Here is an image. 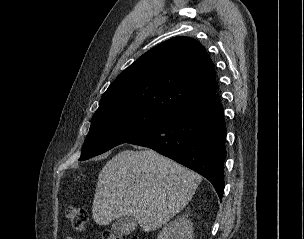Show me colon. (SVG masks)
Here are the masks:
<instances>
[{"label":"colon","mask_w":304,"mask_h":239,"mask_svg":"<svg viewBox=\"0 0 304 239\" xmlns=\"http://www.w3.org/2000/svg\"><path fill=\"white\" fill-rule=\"evenodd\" d=\"M66 217L71 223L72 227L76 231H84L88 223V212L85 208L80 206H70L66 210ZM102 239H125L124 237L118 236L111 230L103 232ZM131 239H138L132 237Z\"/></svg>","instance_id":"5ec220e1"}]
</instances>
